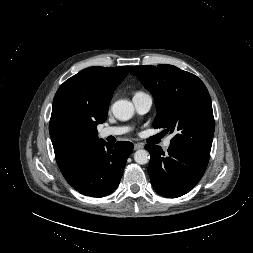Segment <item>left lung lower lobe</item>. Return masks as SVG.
Segmentation results:
<instances>
[{"instance_id": "1", "label": "left lung lower lobe", "mask_w": 253, "mask_h": 253, "mask_svg": "<svg viewBox=\"0 0 253 253\" xmlns=\"http://www.w3.org/2000/svg\"><path fill=\"white\" fill-rule=\"evenodd\" d=\"M150 153L148 173L155 191L168 198L189 192L202 178L209 158L170 146L165 154L160 146L146 144Z\"/></svg>"}]
</instances>
